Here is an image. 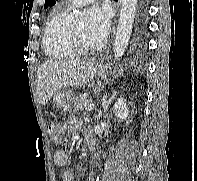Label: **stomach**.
Returning <instances> with one entry per match:
<instances>
[{
  "instance_id": "obj_1",
  "label": "stomach",
  "mask_w": 197,
  "mask_h": 181,
  "mask_svg": "<svg viewBox=\"0 0 197 181\" xmlns=\"http://www.w3.org/2000/svg\"><path fill=\"white\" fill-rule=\"evenodd\" d=\"M96 73L98 77L105 78L109 74V70L106 67H99ZM73 99V93L66 90L57 91L53 97L54 105L63 112L70 110Z\"/></svg>"
}]
</instances>
